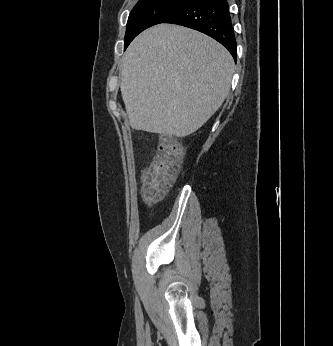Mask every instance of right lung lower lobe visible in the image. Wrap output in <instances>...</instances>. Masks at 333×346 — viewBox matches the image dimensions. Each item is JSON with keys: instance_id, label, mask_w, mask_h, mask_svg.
I'll use <instances>...</instances> for the list:
<instances>
[{"instance_id": "right-lung-lower-lobe-1", "label": "right lung lower lobe", "mask_w": 333, "mask_h": 346, "mask_svg": "<svg viewBox=\"0 0 333 346\" xmlns=\"http://www.w3.org/2000/svg\"><path fill=\"white\" fill-rule=\"evenodd\" d=\"M163 23L182 25L214 38L236 60V39L227 0H185Z\"/></svg>"}]
</instances>
